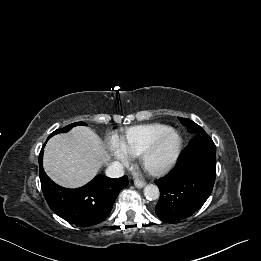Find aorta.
Listing matches in <instances>:
<instances>
[{"instance_id": "aorta-1", "label": "aorta", "mask_w": 261, "mask_h": 261, "mask_svg": "<svg viewBox=\"0 0 261 261\" xmlns=\"http://www.w3.org/2000/svg\"><path fill=\"white\" fill-rule=\"evenodd\" d=\"M144 195L148 200H157L160 196L159 188L154 184H148L144 188Z\"/></svg>"}]
</instances>
